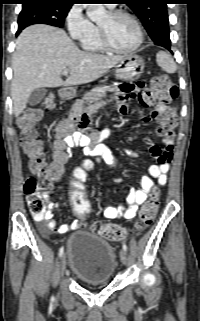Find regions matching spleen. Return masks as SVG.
I'll return each instance as SVG.
<instances>
[{
  "mask_svg": "<svg viewBox=\"0 0 200 321\" xmlns=\"http://www.w3.org/2000/svg\"><path fill=\"white\" fill-rule=\"evenodd\" d=\"M156 61L158 66L166 73L173 74L177 70V65L172 56L165 51H159L156 54Z\"/></svg>",
  "mask_w": 200,
  "mask_h": 321,
  "instance_id": "spleen-1",
  "label": "spleen"
}]
</instances>
